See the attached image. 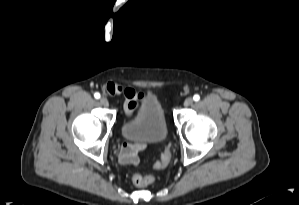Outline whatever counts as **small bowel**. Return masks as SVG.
Listing matches in <instances>:
<instances>
[{
  "label": "small bowel",
  "instance_id": "obj_1",
  "mask_svg": "<svg viewBox=\"0 0 299 205\" xmlns=\"http://www.w3.org/2000/svg\"><path fill=\"white\" fill-rule=\"evenodd\" d=\"M110 95L123 93L125 97L124 110L128 117L132 116L138 109L141 100L146 96L145 93L137 92L132 88H122L120 85L110 83L106 87ZM143 148V144L122 143L120 146L119 158L125 164H135L138 161L137 152Z\"/></svg>",
  "mask_w": 299,
  "mask_h": 205
}]
</instances>
